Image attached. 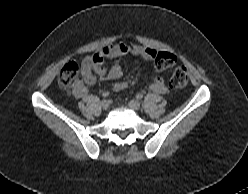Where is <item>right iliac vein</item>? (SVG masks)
I'll list each match as a JSON object with an SVG mask.
<instances>
[{"instance_id": "right-iliac-vein-1", "label": "right iliac vein", "mask_w": 248, "mask_h": 194, "mask_svg": "<svg viewBox=\"0 0 248 194\" xmlns=\"http://www.w3.org/2000/svg\"><path fill=\"white\" fill-rule=\"evenodd\" d=\"M101 107L103 110H107L109 108V102L107 100H102Z\"/></svg>"}]
</instances>
